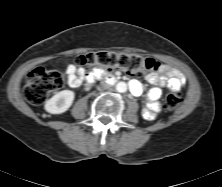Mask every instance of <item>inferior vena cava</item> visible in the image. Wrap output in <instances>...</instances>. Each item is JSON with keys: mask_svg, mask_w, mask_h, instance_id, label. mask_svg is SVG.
I'll use <instances>...</instances> for the list:
<instances>
[{"mask_svg": "<svg viewBox=\"0 0 222 187\" xmlns=\"http://www.w3.org/2000/svg\"><path fill=\"white\" fill-rule=\"evenodd\" d=\"M109 85L105 81L100 82V89H107Z\"/></svg>", "mask_w": 222, "mask_h": 187, "instance_id": "inferior-vena-cava-1", "label": "inferior vena cava"}]
</instances>
